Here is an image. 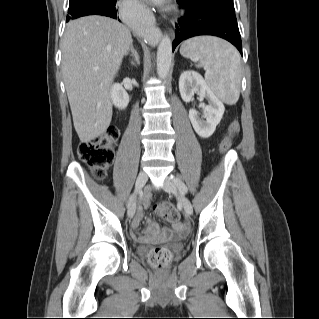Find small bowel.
Wrapping results in <instances>:
<instances>
[{"mask_svg":"<svg viewBox=\"0 0 319 319\" xmlns=\"http://www.w3.org/2000/svg\"><path fill=\"white\" fill-rule=\"evenodd\" d=\"M141 203L143 204V206H147L149 204V196L146 195L145 197H143L141 199ZM143 216H144V209L143 207H139L132 221V228L134 230L138 228ZM173 225L175 229L174 232L169 230L160 232L158 226L154 222L148 221L146 224L145 230L141 234H137V239L139 241H148V240H154L158 238L159 236L171 237L175 233H185L187 231L186 223L180 219L174 221Z\"/></svg>","mask_w":319,"mask_h":319,"instance_id":"1","label":"small bowel"}]
</instances>
